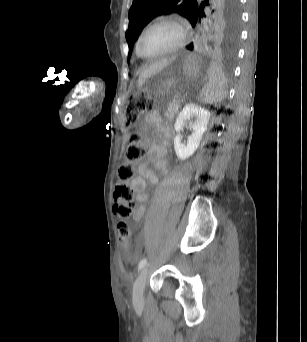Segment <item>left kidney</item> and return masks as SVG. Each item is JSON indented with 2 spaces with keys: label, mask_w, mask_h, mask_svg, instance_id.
Returning a JSON list of instances; mask_svg holds the SVG:
<instances>
[{
  "label": "left kidney",
  "mask_w": 307,
  "mask_h": 342,
  "mask_svg": "<svg viewBox=\"0 0 307 342\" xmlns=\"http://www.w3.org/2000/svg\"><path fill=\"white\" fill-rule=\"evenodd\" d=\"M191 118H195L194 122H190ZM209 120L210 112L208 110L199 108L195 104H187V106H184L176 120L174 130L175 132H181L185 122H189V128H191L192 134L188 136L186 144L181 142L179 134L175 136L174 150L179 160H187V158L193 156L202 140L204 132L207 130Z\"/></svg>",
  "instance_id": "5707ae66"
}]
</instances>
